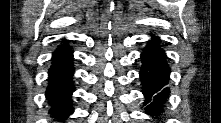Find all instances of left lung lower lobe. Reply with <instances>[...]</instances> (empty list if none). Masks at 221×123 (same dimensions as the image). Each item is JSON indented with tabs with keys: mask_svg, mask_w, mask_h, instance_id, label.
I'll return each instance as SVG.
<instances>
[{
	"mask_svg": "<svg viewBox=\"0 0 221 123\" xmlns=\"http://www.w3.org/2000/svg\"><path fill=\"white\" fill-rule=\"evenodd\" d=\"M140 59L142 61L140 70L142 92L145 97V105L148 104L145 111L147 114L155 116L163 111V105L170 93L166 85L169 82L171 71L159 37L154 35L151 37Z\"/></svg>",
	"mask_w": 221,
	"mask_h": 123,
	"instance_id": "1",
	"label": "left lung lower lobe"
}]
</instances>
